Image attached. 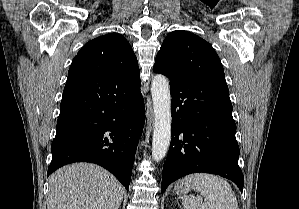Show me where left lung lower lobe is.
Wrapping results in <instances>:
<instances>
[{
    "mask_svg": "<svg viewBox=\"0 0 299 209\" xmlns=\"http://www.w3.org/2000/svg\"><path fill=\"white\" fill-rule=\"evenodd\" d=\"M169 79L172 139L163 166L161 192L178 178L196 172L230 179L242 192L244 177L238 166L236 124L226 82Z\"/></svg>",
    "mask_w": 299,
    "mask_h": 209,
    "instance_id": "obj_1",
    "label": "left lung lower lobe"
}]
</instances>
